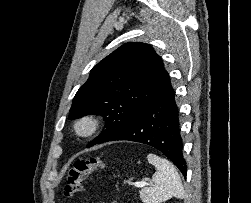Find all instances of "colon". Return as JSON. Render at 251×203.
Returning a JSON list of instances; mask_svg holds the SVG:
<instances>
[{
	"mask_svg": "<svg viewBox=\"0 0 251 203\" xmlns=\"http://www.w3.org/2000/svg\"><path fill=\"white\" fill-rule=\"evenodd\" d=\"M106 163L101 158H91L89 160H76L69 168L63 188L64 197H73L81 191L82 183L88 174L102 169Z\"/></svg>",
	"mask_w": 251,
	"mask_h": 203,
	"instance_id": "obj_1",
	"label": "colon"
}]
</instances>
